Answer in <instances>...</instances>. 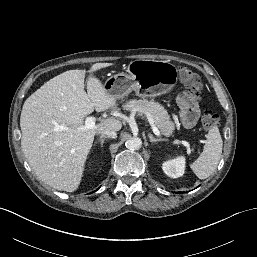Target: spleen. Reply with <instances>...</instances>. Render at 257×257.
Instances as JSON below:
<instances>
[{"instance_id":"obj_1","label":"spleen","mask_w":257,"mask_h":257,"mask_svg":"<svg viewBox=\"0 0 257 257\" xmlns=\"http://www.w3.org/2000/svg\"><path fill=\"white\" fill-rule=\"evenodd\" d=\"M223 141L217 127H212L200 156L190 167L199 179L208 178L217 168L222 154Z\"/></svg>"}]
</instances>
